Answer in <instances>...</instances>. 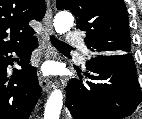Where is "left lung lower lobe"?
Instances as JSON below:
<instances>
[{"label": "left lung lower lobe", "instance_id": "1", "mask_svg": "<svg viewBox=\"0 0 142 119\" xmlns=\"http://www.w3.org/2000/svg\"><path fill=\"white\" fill-rule=\"evenodd\" d=\"M86 68L89 81L72 79L67 86L73 119H123L136 111L142 93L131 54L95 55Z\"/></svg>", "mask_w": 142, "mask_h": 119}]
</instances>
